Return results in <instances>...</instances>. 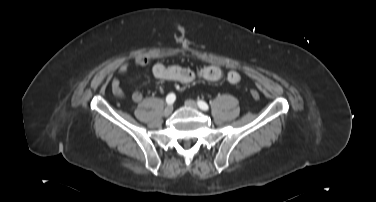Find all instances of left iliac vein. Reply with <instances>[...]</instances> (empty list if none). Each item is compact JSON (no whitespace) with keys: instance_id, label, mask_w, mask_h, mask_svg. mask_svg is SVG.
Segmentation results:
<instances>
[{"instance_id":"1","label":"left iliac vein","mask_w":376,"mask_h":202,"mask_svg":"<svg viewBox=\"0 0 376 202\" xmlns=\"http://www.w3.org/2000/svg\"><path fill=\"white\" fill-rule=\"evenodd\" d=\"M185 105L188 106V107H190V108H193V109H198V104L195 101L191 100V99H187L185 101Z\"/></svg>"}]
</instances>
